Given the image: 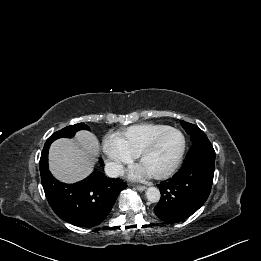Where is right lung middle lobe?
Returning a JSON list of instances; mask_svg holds the SVG:
<instances>
[{"label":"right lung middle lobe","instance_id":"1","mask_svg":"<svg viewBox=\"0 0 261 261\" xmlns=\"http://www.w3.org/2000/svg\"><path fill=\"white\" fill-rule=\"evenodd\" d=\"M82 129L90 130V128L84 123L67 126L62 130L53 133L46 142L52 143L54 140L61 137L71 138L78 130H82Z\"/></svg>","mask_w":261,"mask_h":261}]
</instances>
